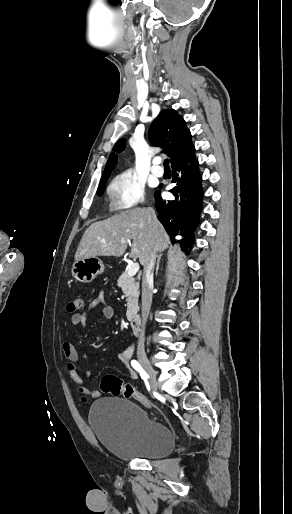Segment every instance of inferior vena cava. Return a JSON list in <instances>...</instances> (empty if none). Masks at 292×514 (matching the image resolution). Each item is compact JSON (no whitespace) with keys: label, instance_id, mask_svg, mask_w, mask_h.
Masks as SVG:
<instances>
[{"label":"inferior vena cava","instance_id":"1","mask_svg":"<svg viewBox=\"0 0 292 514\" xmlns=\"http://www.w3.org/2000/svg\"><path fill=\"white\" fill-rule=\"evenodd\" d=\"M153 218H156L154 210L151 208ZM156 252H152L149 256L147 264L144 266L142 278V330L138 340V352H144L145 342V326L148 320L151 304H152V284L153 272L155 264Z\"/></svg>","mask_w":292,"mask_h":514}]
</instances>
